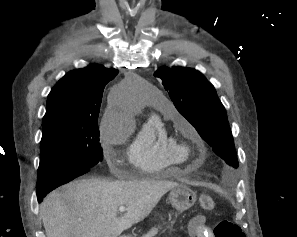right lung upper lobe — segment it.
Masks as SVG:
<instances>
[{"label": "right lung upper lobe", "mask_w": 297, "mask_h": 237, "mask_svg": "<svg viewBox=\"0 0 297 237\" xmlns=\"http://www.w3.org/2000/svg\"><path fill=\"white\" fill-rule=\"evenodd\" d=\"M117 69L90 65L67 73L48 95L42 125L62 119L98 120L105 85Z\"/></svg>", "instance_id": "cb5924a9"}]
</instances>
